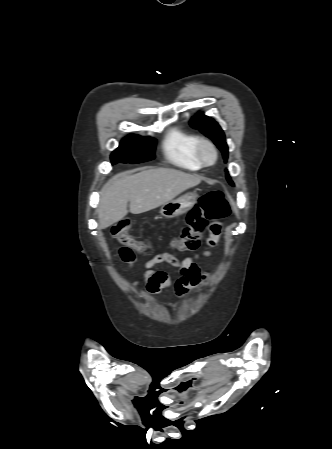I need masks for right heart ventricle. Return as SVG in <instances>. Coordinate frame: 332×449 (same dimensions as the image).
Here are the masks:
<instances>
[{"label": "right heart ventricle", "mask_w": 332, "mask_h": 449, "mask_svg": "<svg viewBox=\"0 0 332 449\" xmlns=\"http://www.w3.org/2000/svg\"><path fill=\"white\" fill-rule=\"evenodd\" d=\"M199 137L186 130L173 127L164 137L163 153L172 164L188 170L202 167L195 154Z\"/></svg>", "instance_id": "e07e8e85"}]
</instances>
